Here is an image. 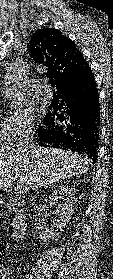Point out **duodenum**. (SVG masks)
<instances>
[{"label":"duodenum","mask_w":113,"mask_h":279,"mask_svg":"<svg viewBox=\"0 0 113 279\" xmlns=\"http://www.w3.org/2000/svg\"><path fill=\"white\" fill-rule=\"evenodd\" d=\"M27 212L24 209H20L17 213V219L12 230V236L15 240H21L24 238L27 232Z\"/></svg>","instance_id":"1"}]
</instances>
